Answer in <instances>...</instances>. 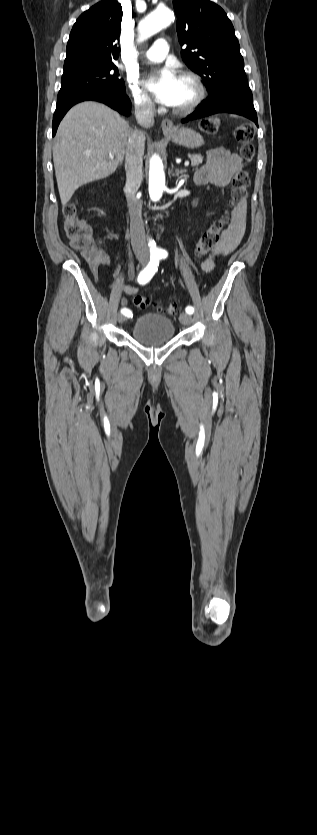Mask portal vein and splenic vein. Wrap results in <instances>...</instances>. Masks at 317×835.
<instances>
[{
    "instance_id": "obj_1",
    "label": "portal vein and splenic vein",
    "mask_w": 317,
    "mask_h": 835,
    "mask_svg": "<svg viewBox=\"0 0 317 835\" xmlns=\"http://www.w3.org/2000/svg\"><path fill=\"white\" fill-rule=\"evenodd\" d=\"M109 157H110V158H114V156H113V155H111V154L109 155ZM189 164H190V162H189V161H185V163H184V165H185V166H189Z\"/></svg>"
}]
</instances>
